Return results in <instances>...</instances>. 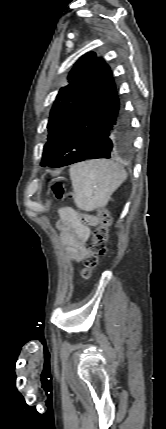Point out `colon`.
I'll use <instances>...</instances> for the list:
<instances>
[{
	"label": "colon",
	"instance_id": "5ec220e1",
	"mask_svg": "<svg viewBox=\"0 0 166 429\" xmlns=\"http://www.w3.org/2000/svg\"><path fill=\"white\" fill-rule=\"evenodd\" d=\"M52 191L57 199H62L67 195L65 187L60 182L53 185ZM68 196L72 197L71 193ZM97 218L98 226L94 230L93 240L87 255L83 259V267L80 272L83 279L90 278L92 271L99 265L100 258L106 253L111 216L106 208H101Z\"/></svg>",
	"mask_w": 166,
	"mask_h": 429
}]
</instances>
